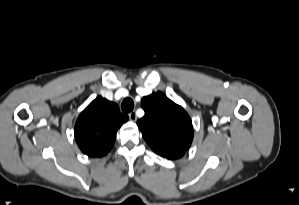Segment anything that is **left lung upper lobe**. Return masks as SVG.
Returning <instances> with one entry per match:
<instances>
[{"instance_id": "obj_1", "label": "left lung upper lobe", "mask_w": 299, "mask_h": 205, "mask_svg": "<svg viewBox=\"0 0 299 205\" xmlns=\"http://www.w3.org/2000/svg\"><path fill=\"white\" fill-rule=\"evenodd\" d=\"M144 117L137 121L142 135L160 156L171 151H186L193 140V127L185 110L162 92L143 97Z\"/></svg>"}]
</instances>
